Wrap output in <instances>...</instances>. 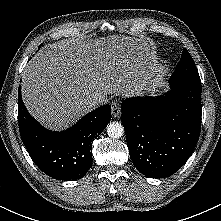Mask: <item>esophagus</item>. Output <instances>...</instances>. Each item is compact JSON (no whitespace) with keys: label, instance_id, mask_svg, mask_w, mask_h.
<instances>
[{"label":"esophagus","instance_id":"obj_1","mask_svg":"<svg viewBox=\"0 0 221 221\" xmlns=\"http://www.w3.org/2000/svg\"><path fill=\"white\" fill-rule=\"evenodd\" d=\"M111 112L114 117H119L121 114L120 103L118 100H114L111 104Z\"/></svg>","mask_w":221,"mask_h":221}]
</instances>
